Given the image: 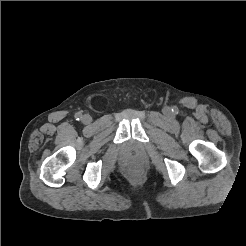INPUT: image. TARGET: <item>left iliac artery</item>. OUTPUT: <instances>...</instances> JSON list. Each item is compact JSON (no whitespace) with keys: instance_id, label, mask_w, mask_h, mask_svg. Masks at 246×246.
<instances>
[{"instance_id":"1","label":"left iliac artery","mask_w":246,"mask_h":246,"mask_svg":"<svg viewBox=\"0 0 246 246\" xmlns=\"http://www.w3.org/2000/svg\"><path fill=\"white\" fill-rule=\"evenodd\" d=\"M172 111H173V112H176V111H177V109H176V108H174V109H172Z\"/></svg>"}]
</instances>
